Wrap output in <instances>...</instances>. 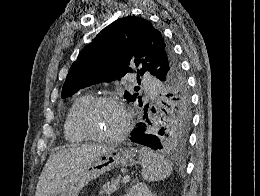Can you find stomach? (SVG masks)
<instances>
[{
  "mask_svg": "<svg viewBox=\"0 0 260 196\" xmlns=\"http://www.w3.org/2000/svg\"><path fill=\"white\" fill-rule=\"evenodd\" d=\"M139 152L137 148H118V146H107L104 154L94 158L88 168L82 170L72 184L68 186L67 192L43 193V196H79L82 188L87 186L91 180L103 176L115 168L123 166H133L138 160Z\"/></svg>",
  "mask_w": 260,
  "mask_h": 196,
  "instance_id": "0dacf381",
  "label": "stomach"
}]
</instances>
